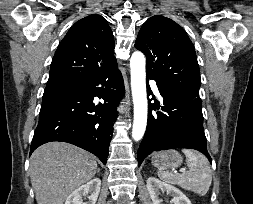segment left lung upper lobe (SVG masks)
Returning a JSON list of instances; mask_svg holds the SVG:
<instances>
[{"label": "left lung upper lobe", "mask_w": 253, "mask_h": 204, "mask_svg": "<svg viewBox=\"0 0 253 204\" xmlns=\"http://www.w3.org/2000/svg\"><path fill=\"white\" fill-rule=\"evenodd\" d=\"M135 47L146 55V74L156 83L199 94V65L194 45L173 20L155 15L141 27Z\"/></svg>", "instance_id": "left-lung-upper-lobe-1"}]
</instances>
